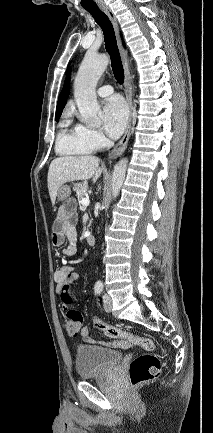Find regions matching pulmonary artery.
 <instances>
[{"instance_id": "pulmonary-artery-1", "label": "pulmonary artery", "mask_w": 213, "mask_h": 433, "mask_svg": "<svg viewBox=\"0 0 213 433\" xmlns=\"http://www.w3.org/2000/svg\"><path fill=\"white\" fill-rule=\"evenodd\" d=\"M113 93V88L110 85H104L97 89V94L100 97H107Z\"/></svg>"}]
</instances>
